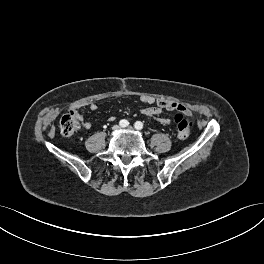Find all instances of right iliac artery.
I'll return each mask as SVG.
<instances>
[{"label": "right iliac artery", "mask_w": 264, "mask_h": 264, "mask_svg": "<svg viewBox=\"0 0 264 264\" xmlns=\"http://www.w3.org/2000/svg\"><path fill=\"white\" fill-rule=\"evenodd\" d=\"M119 125L121 127L125 128L129 125V122L126 119H122V120H120Z\"/></svg>", "instance_id": "82829eb1"}]
</instances>
